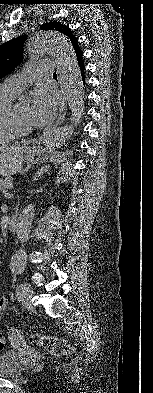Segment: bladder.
Segmentation results:
<instances>
[{
    "instance_id": "1",
    "label": "bladder",
    "mask_w": 153,
    "mask_h": 393,
    "mask_svg": "<svg viewBox=\"0 0 153 393\" xmlns=\"http://www.w3.org/2000/svg\"><path fill=\"white\" fill-rule=\"evenodd\" d=\"M24 372L18 354L15 351H6L0 354V378L16 379Z\"/></svg>"
}]
</instances>
